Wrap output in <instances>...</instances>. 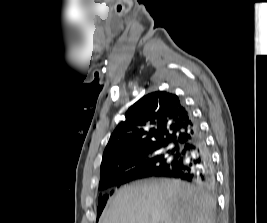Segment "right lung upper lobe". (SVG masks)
Masks as SVG:
<instances>
[{"mask_svg": "<svg viewBox=\"0 0 267 223\" xmlns=\"http://www.w3.org/2000/svg\"><path fill=\"white\" fill-rule=\"evenodd\" d=\"M118 124L103 153L101 180L134 174L138 161L171 146L176 150L196 135L197 125L175 94L157 91L142 97Z\"/></svg>", "mask_w": 267, "mask_h": 223, "instance_id": "obj_1", "label": "right lung upper lobe"}]
</instances>
